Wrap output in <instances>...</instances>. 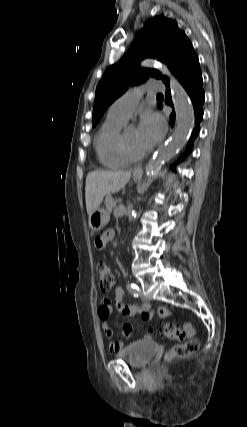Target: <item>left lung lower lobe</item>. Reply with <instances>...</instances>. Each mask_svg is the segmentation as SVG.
Returning <instances> with one entry per match:
<instances>
[{"label": "left lung lower lobe", "instance_id": "1", "mask_svg": "<svg viewBox=\"0 0 247 427\" xmlns=\"http://www.w3.org/2000/svg\"><path fill=\"white\" fill-rule=\"evenodd\" d=\"M179 82L182 84L186 92L188 93L194 107L195 113V128L191 134L190 141L185 149V152L179 157L178 162L182 161L192 150L193 140L197 137L200 127L199 124L203 118L202 105L204 103V90H203V79L202 73L199 66L198 56L194 57L177 75ZM166 85V96L165 103L173 108L171 100V92L169 88V82ZM161 108V106L159 105ZM172 125L175 121V112L170 115Z\"/></svg>", "mask_w": 247, "mask_h": 427}]
</instances>
